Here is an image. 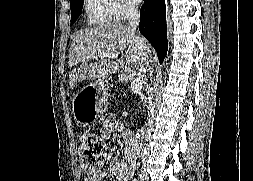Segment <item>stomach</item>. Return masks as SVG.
Masks as SVG:
<instances>
[{"mask_svg": "<svg viewBox=\"0 0 253 181\" xmlns=\"http://www.w3.org/2000/svg\"><path fill=\"white\" fill-rule=\"evenodd\" d=\"M111 85L108 79H98L81 91L74 99L73 112L80 122H92L101 117L108 106ZM84 97L79 100L82 92Z\"/></svg>", "mask_w": 253, "mask_h": 181, "instance_id": "1", "label": "stomach"}]
</instances>
